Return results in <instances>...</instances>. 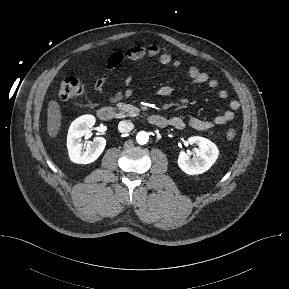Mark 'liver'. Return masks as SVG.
Instances as JSON below:
<instances>
[{
  "instance_id": "6515ba94",
  "label": "liver",
  "mask_w": 289,
  "mask_h": 289,
  "mask_svg": "<svg viewBox=\"0 0 289 289\" xmlns=\"http://www.w3.org/2000/svg\"><path fill=\"white\" fill-rule=\"evenodd\" d=\"M62 113L60 105L56 100H50L47 109V134L55 138L60 130Z\"/></svg>"
}]
</instances>
